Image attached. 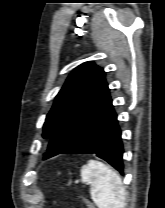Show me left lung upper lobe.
<instances>
[{
    "instance_id": "obj_1",
    "label": "left lung upper lobe",
    "mask_w": 165,
    "mask_h": 208,
    "mask_svg": "<svg viewBox=\"0 0 165 208\" xmlns=\"http://www.w3.org/2000/svg\"><path fill=\"white\" fill-rule=\"evenodd\" d=\"M110 98L105 72L93 62L75 68L57 94L43 126L45 158L65 153L84 123Z\"/></svg>"
}]
</instances>
